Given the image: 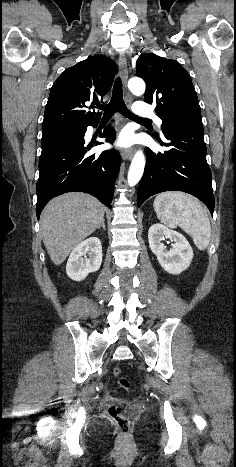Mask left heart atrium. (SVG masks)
Segmentation results:
<instances>
[{"instance_id": "obj_1", "label": "left heart atrium", "mask_w": 236, "mask_h": 467, "mask_svg": "<svg viewBox=\"0 0 236 467\" xmlns=\"http://www.w3.org/2000/svg\"><path fill=\"white\" fill-rule=\"evenodd\" d=\"M133 141L132 135L128 131H124L120 134L118 139V145L121 147L129 146Z\"/></svg>"}]
</instances>
